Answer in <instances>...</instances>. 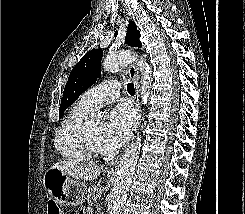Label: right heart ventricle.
<instances>
[{
    "label": "right heart ventricle",
    "mask_w": 245,
    "mask_h": 214,
    "mask_svg": "<svg viewBox=\"0 0 245 214\" xmlns=\"http://www.w3.org/2000/svg\"><path fill=\"white\" fill-rule=\"evenodd\" d=\"M90 111L91 109L79 101L70 109L59 126L54 137V146L64 160L74 163L86 160V155L80 146L79 133L84 118Z\"/></svg>",
    "instance_id": "obj_1"
}]
</instances>
